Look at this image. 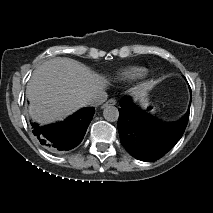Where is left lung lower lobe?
Returning a JSON list of instances; mask_svg holds the SVG:
<instances>
[{
    "instance_id": "0a47b994",
    "label": "left lung lower lobe",
    "mask_w": 213,
    "mask_h": 213,
    "mask_svg": "<svg viewBox=\"0 0 213 213\" xmlns=\"http://www.w3.org/2000/svg\"><path fill=\"white\" fill-rule=\"evenodd\" d=\"M118 130L125 149L142 161H155L165 155L182 137L189 119L163 123L137 108L128 96L120 100Z\"/></svg>"
}]
</instances>
